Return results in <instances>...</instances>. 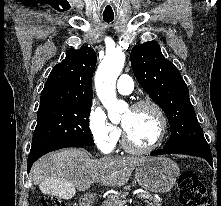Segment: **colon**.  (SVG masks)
I'll return each instance as SVG.
<instances>
[{
  "mask_svg": "<svg viewBox=\"0 0 221 206\" xmlns=\"http://www.w3.org/2000/svg\"><path fill=\"white\" fill-rule=\"evenodd\" d=\"M178 187L182 206H210L206 188L195 173L190 171L180 173ZM41 206H66V204L59 198L45 195L41 198Z\"/></svg>",
  "mask_w": 221,
  "mask_h": 206,
  "instance_id": "1",
  "label": "colon"
}]
</instances>
